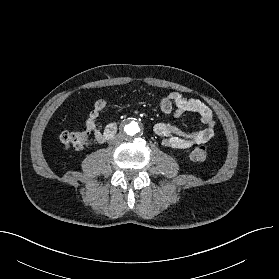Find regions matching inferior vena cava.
<instances>
[{
  "label": "inferior vena cava",
  "mask_w": 279,
  "mask_h": 279,
  "mask_svg": "<svg viewBox=\"0 0 279 279\" xmlns=\"http://www.w3.org/2000/svg\"><path fill=\"white\" fill-rule=\"evenodd\" d=\"M123 141V137L121 135H116L112 138L111 142L113 144H119Z\"/></svg>",
  "instance_id": "inferior-vena-cava-1"
}]
</instances>
